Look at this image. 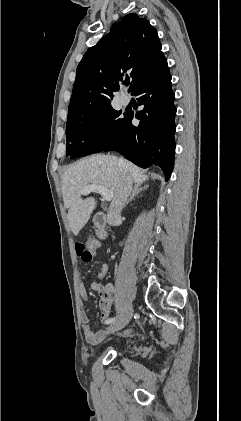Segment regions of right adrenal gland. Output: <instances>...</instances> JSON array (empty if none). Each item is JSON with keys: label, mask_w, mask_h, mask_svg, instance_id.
I'll return each mask as SVG.
<instances>
[{"label": "right adrenal gland", "mask_w": 241, "mask_h": 421, "mask_svg": "<svg viewBox=\"0 0 241 421\" xmlns=\"http://www.w3.org/2000/svg\"><path fill=\"white\" fill-rule=\"evenodd\" d=\"M147 188L148 186L147 185L142 186V183L136 184L131 191L130 197L125 202L124 207H126L129 204V202H131L135 197H137L139 194H141V192H143Z\"/></svg>", "instance_id": "right-adrenal-gland-1"}]
</instances>
